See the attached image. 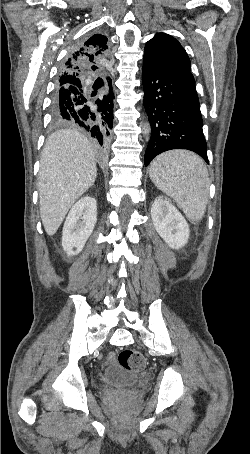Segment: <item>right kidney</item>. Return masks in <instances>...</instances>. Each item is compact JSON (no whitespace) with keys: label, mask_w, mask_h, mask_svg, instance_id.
I'll return each mask as SVG.
<instances>
[{"label":"right kidney","mask_w":250,"mask_h":454,"mask_svg":"<svg viewBox=\"0 0 250 454\" xmlns=\"http://www.w3.org/2000/svg\"><path fill=\"white\" fill-rule=\"evenodd\" d=\"M97 221V202L86 196L71 208L63 227L62 247L68 256L79 254ZM76 248V251H73Z\"/></svg>","instance_id":"right-kidney-1"}]
</instances>
